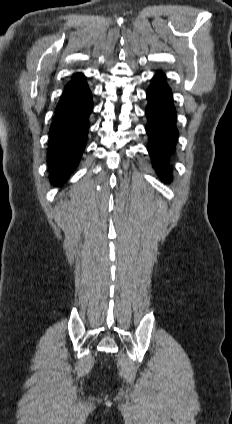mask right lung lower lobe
Masks as SVG:
<instances>
[{
	"instance_id": "obj_1",
	"label": "right lung lower lobe",
	"mask_w": 232,
	"mask_h": 424,
	"mask_svg": "<svg viewBox=\"0 0 232 424\" xmlns=\"http://www.w3.org/2000/svg\"><path fill=\"white\" fill-rule=\"evenodd\" d=\"M92 109V96L84 76L74 74L64 89L50 127L48 160L51 181L56 185H61L79 163Z\"/></svg>"
}]
</instances>
